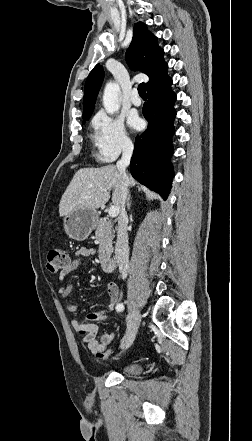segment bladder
Here are the masks:
<instances>
[{
  "instance_id": "bladder-1",
  "label": "bladder",
  "mask_w": 252,
  "mask_h": 441,
  "mask_svg": "<svg viewBox=\"0 0 252 441\" xmlns=\"http://www.w3.org/2000/svg\"><path fill=\"white\" fill-rule=\"evenodd\" d=\"M142 370L143 366L139 363L128 364L122 368L123 373L127 376H135L141 373Z\"/></svg>"
}]
</instances>
